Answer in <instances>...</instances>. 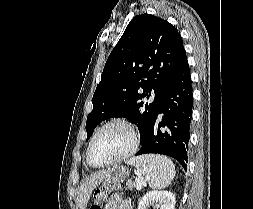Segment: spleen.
<instances>
[{
    "mask_svg": "<svg viewBox=\"0 0 253 209\" xmlns=\"http://www.w3.org/2000/svg\"><path fill=\"white\" fill-rule=\"evenodd\" d=\"M127 164L135 166L152 189L167 187L175 176V166L166 156L146 154L131 158Z\"/></svg>",
    "mask_w": 253,
    "mask_h": 209,
    "instance_id": "3e777b00",
    "label": "spleen"
}]
</instances>
